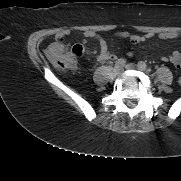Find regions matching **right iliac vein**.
<instances>
[{
  "instance_id": "63e3f726",
  "label": "right iliac vein",
  "mask_w": 181,
  "mask_h": 181,
  "mask_svg": "<svg viewBox=\"0 0 181 181\" xmlns=\"http://www.w3.org/2000/svg\"><path fill=\"white\" fill-rule=\"evenodd\" d=\"M122 71H123L122 66H115L113 70L115 75H119Z\"/></svg>"
}]
</instances>
